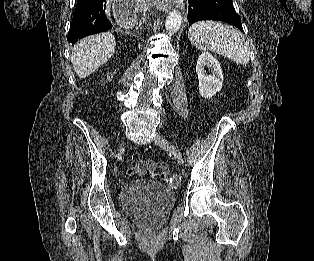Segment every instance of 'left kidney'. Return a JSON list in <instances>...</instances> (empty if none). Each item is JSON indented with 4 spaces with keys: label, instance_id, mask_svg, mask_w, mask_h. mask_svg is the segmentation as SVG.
Returning <instances> with one entry per match:
<instances>
[{
    "label": "left kidney",
    "instance_id": "1",
    "mask_svg": "<svg viewBox=\"0 0 314 261\" xmlns=\"http://www.w3.org/2000/svg\"><path fill=\"white\" fill-rule=\"evenodd\" d=\"M212 70L211 75H205L204 67ZM196 72L199 81V93L205 98H211L222 88L223 72L218 60L209 52H203L197 60Z\"/></svg>",
    "mask_w": 314,
    "mask_h": 261
}]
</instances>
